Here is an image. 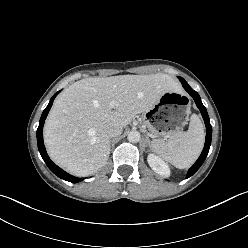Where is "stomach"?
<instances>
[{
    "mask_svg": "<svg viewBox=\"0 0 248 248\" xmlns=\"http://www.w3.org/2000/svg\"><path fill=\"white\" fill-rule=\"evenodd\" d=\"M189 101L180 91L165 92L158 102L143 115V121L148 128L153 142L166 140L172 134L180 131L187 123L189 116Z\"/></svg>",
    "mask_w": 248,
    "mask_h": 248,
    "instance_id": "1",
    "label": "stomach"
}]
</instances>
